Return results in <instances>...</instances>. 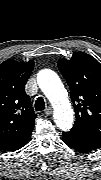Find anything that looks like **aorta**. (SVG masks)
Masks as SVG:
<instances>
[{
	"mask_svg": "<svg viewBox=\"0 0 101 180\" xmlns=\"http://www.w3.org/2000/svg\"><path fill=\"white\" fill-rule=\"evenodd\" d=\"M38 84L54 108V121L61 130H69L74 121V112L68 93L59 76L52 70L45 69L38 73Z\"/></svg>",
	"mask_w": 101,
	"mask_h": 180,
	"instance_id": "762f6f07",
	"label": "aorta"
}]
</instances>
